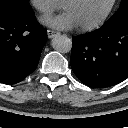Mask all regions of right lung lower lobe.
I'll use <instances>...</instances> for the list:
<instances>
[{"instance_id": "98d812e1", "label": "right lung lower lobe", "mask_w": 128, "mask_h": 128, "mask_svg": "<svg viewBox=\"0 0 128 128\" xmlns=\"http://www.w3.org/2000/svg\"><path fill=\"white\" fill-rule=\"evenodd\" d=\"M46 40L33 10L0 11V82L15 84L32 73Z\"/></svg>"}]
</instances>
